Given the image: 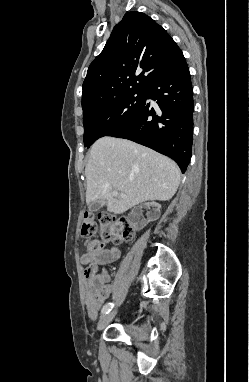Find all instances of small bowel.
Masks as SVG:
<instances>
[{"label": "small bowel", "mask_w": 249, "mask_h": 382, "mask_svg": "<svg viewBox=\"0 0 249 382\" xmlns=\"http://www.w3.org/2000/svg\"><path fill=\"white\" fill-rule=\"evenodd\" d=\"M119 256L120 252L115 247L95 253L86 252L81 256V262L86 266L84 270L86 310L90 319L97 317L99 309L112 291V286L109 284L110 275L104 266L114 262Z\"/></svg>", "instance_id": "small-bowel-1"}]
</instances>
